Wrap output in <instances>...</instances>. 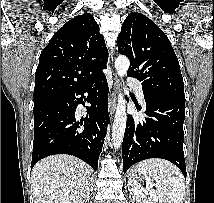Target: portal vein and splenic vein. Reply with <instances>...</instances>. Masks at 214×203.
I'll use <instances>...</instances> for the list:
<instances>
[{"label": "portal vein and splenic vein", "mask_w": 214, "mask_h": 203, "mask_svg": "<svg viewBox=\"0 0 214 203\" xmlns=\"http://www.w3.org/2000/svg\"><path fill=\"white\" fill-rule=\"evenodd\" d=\"M134 193L136 196L138 197H141V198H144V194L140 191V190H137V189H134ZM152 198H155L153 195L151 196Z\"/></svg>", "instance_id": "1"}]
</instances>
